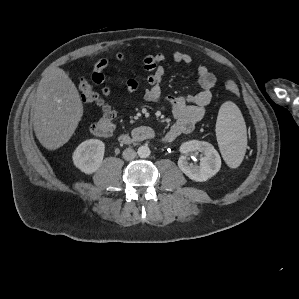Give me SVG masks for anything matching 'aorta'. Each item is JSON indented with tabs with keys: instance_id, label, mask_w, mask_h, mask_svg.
Listing matches in <instances>:
<instances>
[{
	"instance_id": "aorta-1",
	"label": "aorta",
	"mask_w": 299,
	"mask_h": 299,
	"mask_svg": "<svg viewBox=\"0 0 299 299\" xmlns=\"http://www.w3.org/2000/svg\"><path fill=\"white\" fill-rule=\"evenodd\" d=\"M137 153L140 158H147L150 155V149L147 145H143L138 148Z\"/></svg>"
}]
</instances>
